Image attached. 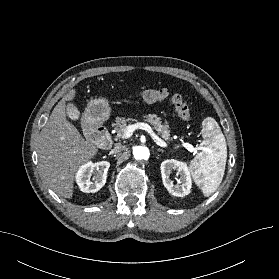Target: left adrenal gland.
<instances>
[{
  "instance_id": "obj_1",
  "label": "left adrenal gland",
  "mask_w": 279,
  "mask_h": 279,
  "mask_svg": "<svg viewBox=\"0 0 279 279\" xmlns=\"http://www.w3.org/2000/svg\"><path fill=\"white\" fill-rule=\"evenodd\" d=\"M157 151H159V152H160V151H163V150H162V149H157Z\"/></svg>"
}]
</instances>
